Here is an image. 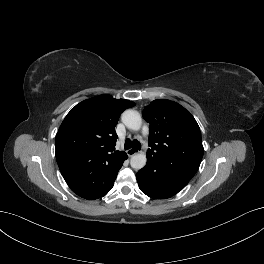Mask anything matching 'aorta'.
Listing matches in <instances>:
<instances>
[{
	"instance_id": "762f6f07",
	"label": "aorta",
	"mask_w": 264,
	"mask_h": 264,
	"mask_svg": "<svg viewBox=\"0 0 264 264\" xmlns=\"http://www.w3.org/2000/svg\"><path fill=\"white\" fill-rule=\"evenodd\" d=\"M122 122L125 126L132 130H139L142 125V119L139 113L135 110L128 109L122 113L121 116ZM146 155L144 153H137L132 156L130 160V165L134 169H142L146 165Z\"/></svg>"
}]
</instances>
